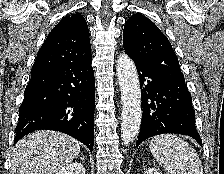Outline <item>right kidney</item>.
Listing matches in <instances>:
<instances>
[{
	"instance_id": "1",
	"label": "right kidney",
	"mask_w": 224,
	"mask_h": 174,
	"mask_svg": "<svg viewBox=\"0 0 224 174\" xmlns=\"http://www.w3.org/2000/svg\"><path fill=\"white\" fill-rule=\"evenodd\" d=\"M56 174H85V168L81 163H70L62 167Z\"/></svg>"
}]
</instances>
